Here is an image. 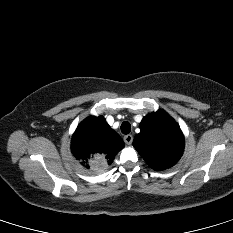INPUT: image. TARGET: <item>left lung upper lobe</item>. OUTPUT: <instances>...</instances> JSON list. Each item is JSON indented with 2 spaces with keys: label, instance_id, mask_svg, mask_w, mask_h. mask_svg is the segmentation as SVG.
<instances>
[{
  "label": "left lung upper lobe",
  "instance_id": "obj_1",
  "mask_svg": "<svg viewBox=\"0 0 233 233\" xmlns=\"http://www.w3.org/2000/svg\"><path fill=\"white\" fill-rule=\"evenodd\" d=\"M133 146L154 170L172 167L181 157L184 137L178 124L164 111L143 118Z\"/></svg>",
  "mask_w": 233,
  "mask_h": 233
}]
</instances>
